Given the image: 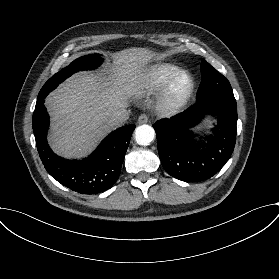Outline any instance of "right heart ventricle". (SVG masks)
I'll list each match as a JSON object with an SVG mask.
<instances>
[{"instance_id": "e07e8e85", "label": "right heart ventricle", "mask_w": 279, "mask_h": 279, "mask_svg": "<svg viewBox=\"0 0 279 279\" xmlns=\"http://www.w3.org/2000/svg\"><path fill=\"white\" fill-rule=\"evenodd\" d=\"M183 70L182 67L173 63L151 65L138 76L134 92L142 96L159 92L171 78Z\"/></svg>"}]
</instances>
